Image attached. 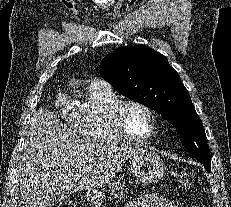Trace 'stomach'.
I'll list each match as a JSON object with an SVG mask.
<instances>
[{
  "instance_id": "1",
  "label": "stomach",
  "mask_w": 231,
  "mask_h": 207,
  "mask_svg": "<svg viewBox=\"0 0 231 207\" xmlns=\"http://www.w3.org/2000/svg\"><path fill=\"white\" fill-rule=\"evenodd\" d=\"M165 165L161 157L145 149H140L130 157V172L136 182L142 185L156 183L164 174ZM110 196L119 198L125 193V185L121 181H113L109 184ZM105 194L92 191L88 195L92 207H101L104 203Z\"/></svg>"
}]
</instances>
